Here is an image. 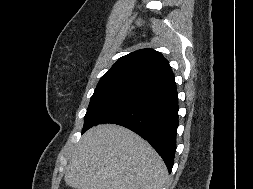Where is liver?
Listing matches in <instances>:
<instances>
[{"mask_svg": "<svg viewBox=\"0 0 253 189\" xmlns=\"http://www.w3.org/2000/svg\"><path fill=\"white\" fill-rule=\"evenodd\" d=\"M167 168L151 145L131 130L103 124L74 147L65 182L74 189H164Z\"/></svg>", "mask_w": 253, "mask_h": 189, "instance_id": "liver-1", "label": "liver"}]
</instances>
